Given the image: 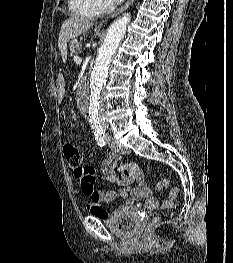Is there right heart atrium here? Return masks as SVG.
<instances>
[{
    "label": "right heart atrium",
    "mask_w": 233,
    "mask_h": 263,
    "mask_svg": "<svg viewBox=\"0 0 233 263\" xmlns=\"http://www.w3.org/2000/svg\"><path fill=\"white\" fill-rule=\"evenodd\" d=\"M100 12L107 11L113 5V0H95Z\"/></svg>",
    "instance_id": "right-heart-atrium-1"
}]
</instances>
